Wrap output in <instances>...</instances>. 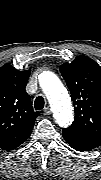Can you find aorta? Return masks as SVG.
Instances as JSON below:
<instances>
[{
  "mask_svg": "<svg viewBox=\"0 0 101 180\" xmlns=\"http://www.w3.org/2000/svg\"><path fill=\"white\" fill-rule=\"evenodd\" d=\"M39 82L48 98L56 122L61 127L69 126L73 121V107L67 89L57 75L50 71L41 73Z\"/></svg>",
  "mask_w": 101,
  "mask_h": 180,
  "instance_id": "1",
  "label": "aorta"
}]
</instances>
